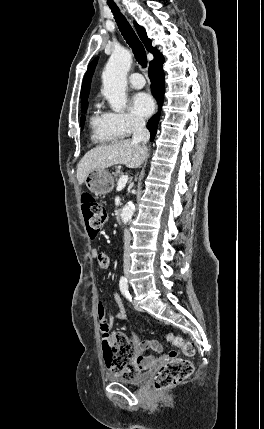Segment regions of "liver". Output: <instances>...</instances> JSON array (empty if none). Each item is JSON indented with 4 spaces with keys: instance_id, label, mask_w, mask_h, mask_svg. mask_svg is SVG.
Wrapping results in <instances>:
<instances>
[{
    "instance_id": "obj_1",
    "label": "liver",
    "mask_w": 264,
    "mask_h": 429,
    "mask_svg": "<svg viewBox=\"0 0 264 429\" xmlns=\"http://www.w3.org/2000/svg\"><path fill=\"white\" fill-rule=\"evenodd\" d=\"M147 157V148L132 140H120L97 146L88 151L77 166V180L81 185L94 169H106L116 164L138 168Z\"/></svg>"
}]
</instances>
